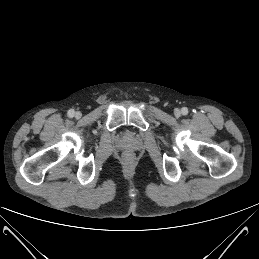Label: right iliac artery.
Returning <instances> with one entry per match:
<instances>
[{
  "label": "right iliac artery",
  "instance_id": "obj_1",
  "mask_svg": "<svg viewBox=\"0 0 259 259\" xmlns=\"http://www.w3.org/2000/svg\"><path fill=\"white\" fill-rule=\"evenodd\" d=\"M74 114H75V111H74L73 109H70V110L68 111V116H69V117H73Z\"/></svg>",
  "mask_w": 259,
  "mask_h": 259
}]
</instances>
